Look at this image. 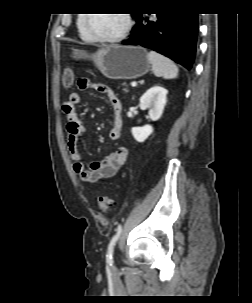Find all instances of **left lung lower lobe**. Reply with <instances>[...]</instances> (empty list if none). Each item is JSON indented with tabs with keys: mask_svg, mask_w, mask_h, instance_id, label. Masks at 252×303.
<instances>
[{
	"mask_svg": "<svg viewBox=\"0 0 252 303\" xmlns=\"http://www.w3.org/2000/svg\"><path fill=\"white\" fill-rule=\"evenodd\" d=\"M132 36L125 45H140L157 51L188 70L196 53L198 16L196 13L139 14Z\"/></svg>",
	"mask_w": 252,
	"mask_h": 303,
	"instance_id": "obj_1",
	"label": "left lung lower lobe"
}]
</instances>
